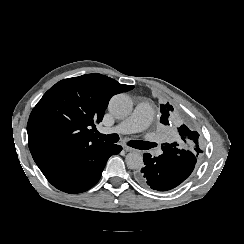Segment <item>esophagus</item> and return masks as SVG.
Here are the masks:
<instances>
[{"label": "esophagus", "mask_w": 244, "mask_h": 244, "mask_svg": "<svg viewBox=\"0 0 244 244\" xmlns=\"http://www.w3.org/2000/svg\"><path fill=\"white\" fill-rule=\"evenodd\" d=\"M123 149L126 151V152H133L134 149L129 147V146H126V145H123Z\"/></svg>", "instance_id": "34e87169"}]
</instances>
